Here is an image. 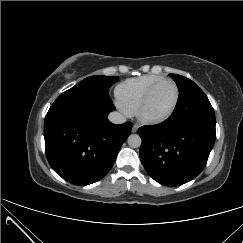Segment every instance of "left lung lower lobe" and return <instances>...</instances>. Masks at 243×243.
I'll return each mask as SVG.
<instances>
[{"mask_svg":"<svg viewBox=\"0 0 243 243\" xmlns=\"http://www.w3.org/2000/svg\"><path fill=\"white\" fill-rule=\"evenodd\" d=\"M140 159L158 183L179 186L204 169L215 142V122H194L171 115L164 122L138 129Z\"/></svg>","mask_w":243,"mask_h":243,"instance_id":"left-lung-lower-lobe-1","label":"left lung lower lobe"}]
</instances>
